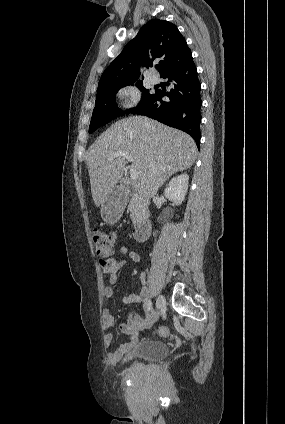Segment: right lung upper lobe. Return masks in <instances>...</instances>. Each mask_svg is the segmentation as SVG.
I'll list each match as a JSON object with an SVG mask.
<instances>
[{"label": "right lung upper lobe", "instance_id": "obj_1", "mask_svg": "<svg viewBox=\"0 0 285 424\" xmlns=\"http://www.w3.org/2000/svg\"><path fill=\"white\" fill-rule=\"evenodd\" d=\"M192 57L185 38L177 27L165 20L153 19L144 25L102 74L98 89L132 82L140 76V66L151 67L160 60V76L184 64Z\"/></svg>", "mask_w": 285, "mask_h": 424}]
</instances>
